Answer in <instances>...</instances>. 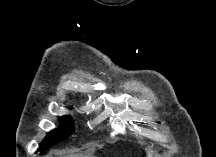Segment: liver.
Returning a JSON list of instances; mask_svg holds the SVG:
<instances>
[{"label":"liver","mask_w":216,"mask_h":157,"mask_svg":"<svg viewBox=\"0 0 216 157\" xmlns=\"http://www.w3.org/2000/svg\"><path fill=\"white\" fill-rule=\"evenodd\" d=\"M72 157H81V156H72Z\"/></svg>","instance_id":"liver-1"}]
</instances>
